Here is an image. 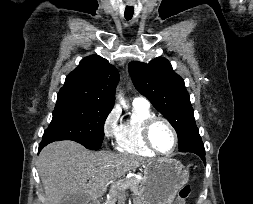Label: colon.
<instances>
[{
    "instance_id": "5ec220e1",
    "label": "colon",
    "mask_w": 253,
    "mask_h": 204,
    "mask_svg": "<svg viewBox=\"0 0 253 204\" xmlns=\"http://www.w3.org/2000/svg\"><path fill=\"white\" fill-rule=\"evenodd\" d=\"M190 194L191 186L189 184L182 186L178 191L174 204H185L187 199L190 197Z\"/></svg>"
}]
</instances>
